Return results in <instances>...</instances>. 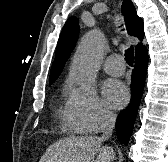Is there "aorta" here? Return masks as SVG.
Listing matches in <instances>:
<instances>
[{
  "instance_id": "obj_1",
  "label": "aorta",
  "mask_w": 168,
  "mask_h": 162,
  "mask_svg": "<svg viewBox=\"0 0 168 162\" xmlns=\"http://www.w3.org/2000/svg\"><path fill=\"white\" fill-rule=\"evenodd\" d=\"M104 47V36L96 29L89 31L78 45L73 58L71 76L83 89H89L94 83Z\"/></svg>"
}]
</instances>
